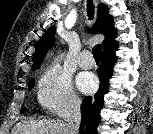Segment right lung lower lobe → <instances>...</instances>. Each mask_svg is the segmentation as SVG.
<instances>
[{"label": "right lung lower lobe", "instance_id": "1", "mask_svg": "<svg viewBox=\"0 0 153 134\" xmlns=\"http://www.w3.org/2000/svg\"><path fill=\"white\" fill-rule=\"evenodd\" d=\"M118 44L106 49L102 53V63L99 68L100 87L94 97L87 96L84 98L81 106L82 122L79 129V134H97V126L100 123V110L104 104V94L109 88V79L113 73V65L117 57L115 51Z\"/></svg>", "mask_w": 153, "mask_h": 134}]
</instances>
